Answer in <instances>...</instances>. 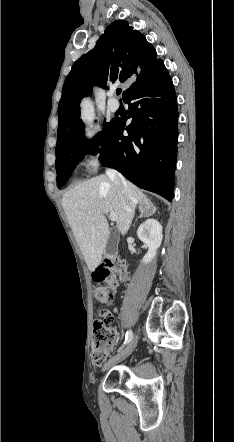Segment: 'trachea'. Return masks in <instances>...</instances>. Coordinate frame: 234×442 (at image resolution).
<instances>
[{
    "label": "trachea",
    "instance_id": "1",
    "mask_svg": "<svg viewBox=\"0 0 234 442\" xmlns=\"http://www.w3.org/2000/svg\"><path fill=\"white\" fill-rule=\"evenodd\" d=\"M121 89H117V95H120L121 94Z\"/></svg>",
    "mask_w": 234,
    "mask_h": 442
}]
</instances>
